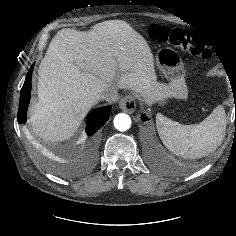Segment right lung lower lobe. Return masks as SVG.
Listing matches in <instances>:
<instances>
[{"instance_id":"obj_1","label":"right lung lower lobe","mask_w":236,"mask_h":236,"mask_svg":"<svg viewBox=\"0 0 236 236\" xmlns=\"http://www.w3.org/2000/svg\"><path fill=\"white\" fill-rule=\"evenodd\" d=\"M34 64L29 69L24 85L20 93V103L18 109V122L20 124L26 123L27 109L30 101L31 92V78L33 72ZM112 106H105L97 108L91 111L86 116V136L84 137V145L87 148L92 147L95 144V133L107 122L109 119L110 111Z\"/></svg>"}]
</instances>
